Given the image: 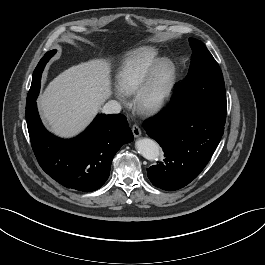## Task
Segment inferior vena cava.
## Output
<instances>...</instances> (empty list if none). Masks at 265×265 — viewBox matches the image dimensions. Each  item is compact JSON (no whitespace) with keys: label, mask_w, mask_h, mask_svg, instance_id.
I'll use <instances>...</instances> for the list:
<instances>
[{"label":"inferior vena cava","mask_w":265,"mask_h":265,"mask_svg":"<svg viewBox=\"0 0 265 265\" xmlns=\"http://www.w3.org/2000/svg\"><path fill=\"white\" fill-rule=\"evenodd\" d=\"M120 111L121 105L115 100L108 101L102 108L104 114H118Z\"/></svg>","instance_id":"inferior-vena-cava-1"}]
</instances>
